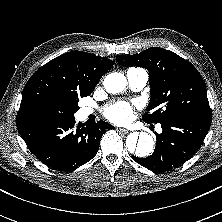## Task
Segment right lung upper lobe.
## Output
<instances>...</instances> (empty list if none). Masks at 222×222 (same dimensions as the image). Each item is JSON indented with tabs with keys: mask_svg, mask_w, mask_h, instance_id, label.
Wrapping results in <instances>:
<instances>
[{
	"mask_svg": "<svg viewBox=\"0 0 222 222\" xmlns=\"http://www.w3.org/2000/svg\"><path fill=\"white\" fill-rule=\"evenodd\" d=\"M113 64L111 59L83 51L65 53L49 61L25 85L17 122L43 117L42 109L50 99L88 96Z\"/></svg>",
	"mask_w": 222,
	"mask_h": 222,
	"instance_id": "right-lung-upper-lobe-1",
	"label": "right lung upper lobe"
}]
</instances>
